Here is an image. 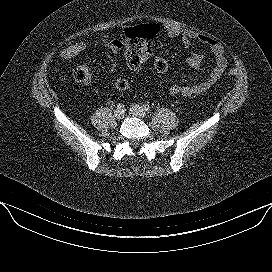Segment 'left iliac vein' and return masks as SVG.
<instances>
[{
	"label": "left iliac vein",
	"instance_id": "1",
	"mask_svg": "<svg viewBox=\"0 0 272 272\" xmlns=\"http://www.w3.org/2000/svg\"><path fill=\"white\" fill-rule=\"evenodd\" d=\"M130 112H131L134 116H136V117H138V118H141V119H143V118L146 117V112H145V110L143 109V107H141V106H139V105H137V104L131 105V107H130Z\"/></svg>",
	"mask_w": 272,
	"mask_h": 272
}]
</instances>
